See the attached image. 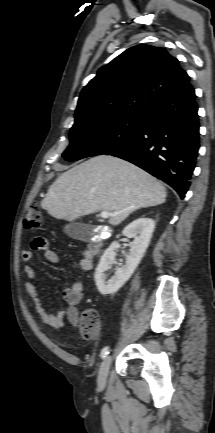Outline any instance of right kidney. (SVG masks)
<instances>
[{"mask_svg":"<svg viewBox=\"0 0 215 433\" xmlns=\"http://www.w3.org/2000/svg\"><path fill=\"white\" fill-rule=\"evenodd\" d=\"M154 229L155 221L147 217L138 218L124 228L123 235L134 241L125 265L117 268L115 275L108 281L104 272L114 261L120 244L115 241L105 250L94 275L96 286L102 295L116 293L129 280L148 248Z\"/></svg>","mask_w":215,"mask_h":433,"instance_id":"obj_1","label":"right kidney"}]
</instances>
